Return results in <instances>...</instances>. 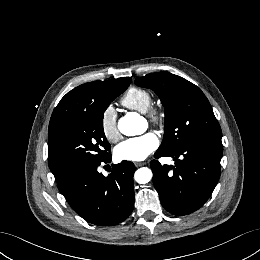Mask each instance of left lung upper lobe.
<instances>
[{
    "label": "left lung upper lobe",
    "mask_w": 260,
    "mask_h": 260,
    "mask_svg": "<svg viewBox=\"0 0 260 260\" xmlns=\"http://www.w3.org/2000/svg\"><path fill=\"white\" fill-rule=\"evenodd\" d=\"M135 84L152 89L165 108L164 138L158 150L173 151L199 140H221L212 107L193 83L169 72H156L136 78Z\"/></svg>",
    "instance_id": "left-lung-upper-lobe-1"
}]
</instances>
